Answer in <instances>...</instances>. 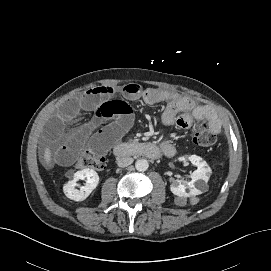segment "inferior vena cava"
Instances as JSON below:
<instances>
[{
	"label": "inferior vena cava",
	"instance_id": "obj_1",
	"mask_svg": "<svg viewBox=\"0 0 271 271\" xmlns=\"http://www.w3.org/2000/svg\"><path fill=\"white\" fill-rule=\"evenodd\" d=\"M133 161L134 160L132 157L125 156V157L119 158L117 160V165L119 167H127V166L131 165L133 163Z\"/></svg>",
	"mask_w": 271,
	"mask_h": 271
}]
</instances>
